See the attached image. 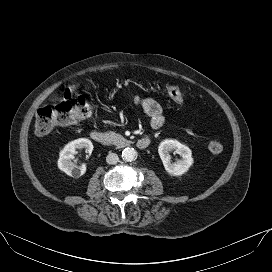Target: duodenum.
Listing matches in <instances>:
<instances>
[{"label":"duodenum","instance_id":"duodenum-1","mask_svg":"<svg viewBox=\"0 0 272 272\" xmlns=\"http://www.w3.org/2000/svg\"><path fill=\"white\" fill-rule=\"evenodd\" d=\"M91 137L95 142L104 146H108L111 142L110 137L104 131H101V130H93L91 132ZM150 144H151V139L149 137L140 138L136 142V146L140 150H144L148 148Z\"/></svg>","mask_w":272,"mask_h":272}]
</instances>
